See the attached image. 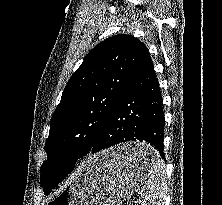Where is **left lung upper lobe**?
Segmentation results:
<instances>
[{"mask_svg":"<svg viewBox=\"0 0 222 205\" xmlns=\"http://www.w3.org/2000/svg\"><path fill=\"white\" fill-rule=\"evenodd\" d=\"M145 49L130 35L112 36L96 45L71 76L45 143L41 185L46 195L64 179L56 169L60 156H84L91 150Z\"/></svg>","mask_w":222,"mask_h":205,"instance_id":"5c2ea615","label":"left lung upper lobe"}]
</instances>
